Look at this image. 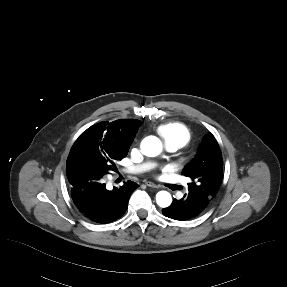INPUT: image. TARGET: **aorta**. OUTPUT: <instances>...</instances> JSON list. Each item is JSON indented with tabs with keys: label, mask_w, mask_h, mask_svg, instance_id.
Segmentation results:
<instances>
[{
	"label": "aorta",
	"mask_w": 287,
	"mask_h": 287,
	"mask_svg": "<svg viewBox=\"0 0 287 287\" xmlns=\"http://www.w3.org/2000/svg\"><path fill=\"white\" fill-rule=\"evenodd\" d=\"M140 148L144 155L155 157L161 153L162 143L157 137L148 136L142 140ZM156 202L162 208L168 207L172 203V196L167 191H159L156 194Z\"/></svg>",
	"instance_id": "aorta-1"
}]
</instances>
